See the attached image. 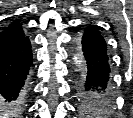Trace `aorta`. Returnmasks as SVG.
<instances>
[{
    "mask_svg": "<svg viewBox=\"0 0 133 118\" xmlns=\"http://www.w3.org/2000/svg\"><path fill=\"white\" fill-rule=\"evenodd\" d=\"M75 63L77 64V66H78L79 68L81 67L82 61H81L79 55H76V56H75Z\"/></svg>",
    "mask_w": 133,
    "mask_h": 118,
    "instance_id": "aorta-1",
    "label": "aorta"
}]
</instances>
